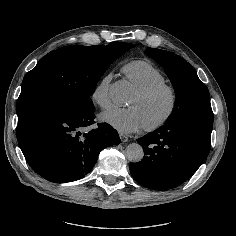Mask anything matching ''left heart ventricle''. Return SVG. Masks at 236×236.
<instances>
[{"instance_id":"b2bd125f","label":"left heart ventricle","mask_w":236,"mask_h":236,"mask_svg":"<svg viewBox=\"0 0 236 236\" xmlns=\"http://www.w3.org/2000/svg\"><path fill=\"white\" fill-rule=\"evenodd\" d=\"M128 105L139 111L145 126L164 117L169 109L170 98L167 93H160L150 100H142L135 93Z\"/></svg>"}]
</instances>
